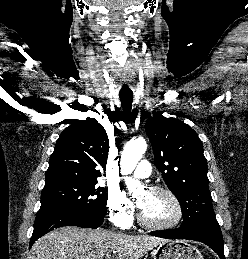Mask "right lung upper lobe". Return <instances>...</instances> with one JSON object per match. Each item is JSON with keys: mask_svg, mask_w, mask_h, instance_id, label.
Instances as JSON below:
<instances>
[{"mask_svg": "<svg viewBox=\"0 0 248 259\" xmlns=\"http://www.w3.org/2000/svg\"><path fill=\"white\" fill-rule=\"evenodd\" d=\"M109 139L97 120L67 127L56 142L46 171L45 184L57 181H91L105 168Z\"/></svg>", "mask_w": 248, "mask_h": 259, "instance_id": "1", "label": "right lung upper lobe"}]
</instances>
